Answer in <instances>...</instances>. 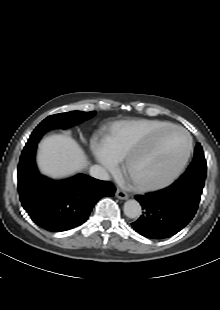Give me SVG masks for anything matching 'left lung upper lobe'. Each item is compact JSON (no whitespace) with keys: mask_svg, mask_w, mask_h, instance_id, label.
<instances>
[{"mask_svg":"<svg viewBox=\"0 0 220 310\" xmlns=\"http://www.w3.org/2000/svg\"><path fill=\"white\" fill-rule=\"evenodd\" d=\"M206 161L204 158V153L201 145L198 143L192 163L186 170V172L179 178L180 181H198L204 183L206 177Z\"/></svg>","mask_w":220,"mask_h":310,"instance_id":"1","label":"left lung upper lobe"}]
</instances>
